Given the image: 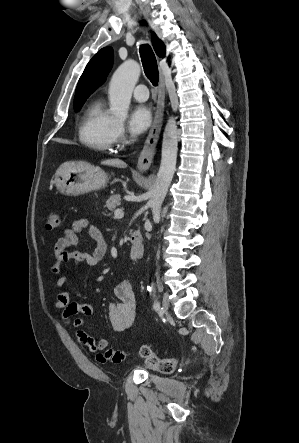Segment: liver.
I'll list each match as a JSON object with an SVG mask.
<instances>
[{
    "label": "liver",
    "mask_w": 299,
    "mask_h": 443,
    "mask_svg": "<svg viewBox=\"0 0 299 443\" xmlns=\"http://www.w3.org/2000/svg\"><path fill=\"white\" fill-rule=\"evenodd\" d=\"M102 164L108 165V166L120 167V168H123L126 166V163L118 158L104 160V161H102Z\"/></svg>",
    "instance_id": "obj_1"
}]
</instances>
